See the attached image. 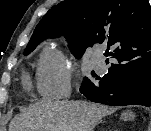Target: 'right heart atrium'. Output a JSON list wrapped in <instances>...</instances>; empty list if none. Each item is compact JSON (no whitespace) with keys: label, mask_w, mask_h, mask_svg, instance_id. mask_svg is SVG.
I'll return each mask as SVG.
<instances>
[{"label":"right heart atrium","mask_w":151,"mask_h":131,"mask_svg":"<svg viewBox=\"0 0 151 131\" xmlns=\"http://www.w3.org/2000/svg\"><path fill=\"white\" fill-rule=\"evenodd\" d=\"M71 65L56 48L47 50L40 58L36 82L39 93L46 98H62L70 93Z\"/></svg>","instance_id":"1"}]
</instances>
